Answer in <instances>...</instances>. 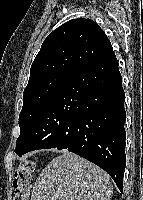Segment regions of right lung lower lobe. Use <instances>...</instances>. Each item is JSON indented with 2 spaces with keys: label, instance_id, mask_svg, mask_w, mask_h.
<instances>
[{
  "label": "right lung lower lobe",
  "instance_id": "right-lung-lower-lobe-1",
  "mask_svg": "<svg viewBox=\"0 0 143 200\" xmlns=\"http://www.w3.org/2000/svg\"><path fill=\"white\" fill-rule=\"evenodd\" d=\"M114 52L78 70L38 113L18 156L36 150H68L104 169L122 192L126 167V112Z\"/></svg>",
  "mask_w": 143,
  "mask_h": 200
}]
</instances>
